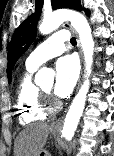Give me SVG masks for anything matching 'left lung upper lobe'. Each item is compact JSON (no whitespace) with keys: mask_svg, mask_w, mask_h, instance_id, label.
Masks as SVG:
<instances>
[{"mask_svg":"<svg viewBox=\"0 0 114 156\" xmlns=\"http://www.w3.org/2000/svg\"><path fill=\"white\" fill-rule=\"evenodd\" d=\"M52 8H71L82 10L80 0H51ZM43 0H36L35 14L29 16L14 32L8 48L7 75L11 82V71L17 59L24 53L36 37L37 20L40 17ZM85 10V9H84ZM87 10H85L86 12Z\"/></svg>","mask_w":114,"mask_h":156,"instance_id":"5c2ea615","label":"left lung upper lobe"}]
</instances>
